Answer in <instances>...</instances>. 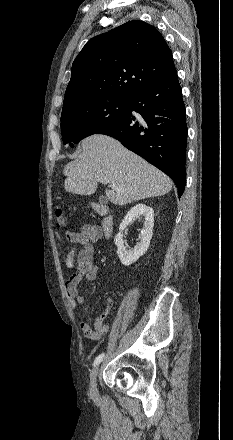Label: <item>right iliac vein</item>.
Returning <instances> with one entry per match:
<instances>
[{
  "instance_id": "obj_1",
  "label": "right iliac vein",
  "mask_w": 233,
  "mask_h": 440,
  "mask_svg": "<svg viewBox=\"0 0 233 440\" xmlns=\"http://www.w3.org/2000/svg\"><path fill=\"white\" fill-rule=\"evenodd\" d=\"M99 372V367H95L91 374H90V384H89V388H90V393L93 397L97 396L98 394V389H97V375Z\"/></svg>"
}]
</instances>
